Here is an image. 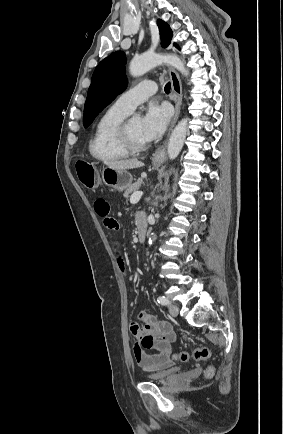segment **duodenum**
Returning a JSON list of instances; mask_svg holds the SVG:
<instances>
[{
  "label": "duodenum",
  "instance_id": "duodenum-1",
  "mask_svg": "<svg viewBox=\"0 0 283 434\" xmlns=\"http://www.w3.org/2000/svg\"><path fill=\"white\" fill-rule=\"evenodd\" d=\"M146 232H147V224L145 220H138L137 221V237L138 241L140 243H143L146 239Z\"/></svg>",
  "mask_w": 283,
  "mask_h": 434
}]
</instances>
